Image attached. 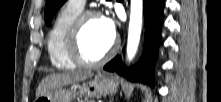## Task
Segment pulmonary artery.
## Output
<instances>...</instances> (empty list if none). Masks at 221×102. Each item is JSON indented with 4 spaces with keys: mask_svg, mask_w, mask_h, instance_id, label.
<instances>
[{
    "mask_svg": "<svg viewBox=\"0 0 221 102\" xmlns=\"http://www.w3.org/2000/svg\"><path fill=\"white\" fill-rule=\"evenodd\" d=\"M72 3L78 5L79 7H84L86 1L85 0H71Z\"/></svg>",
    "mask_w": 221,
    "mask_h": 102,
    "instance_id": "pulmonary-artery-1",
    "label": "pulmonary artery"
}]
</instances>
